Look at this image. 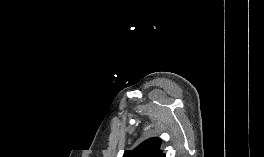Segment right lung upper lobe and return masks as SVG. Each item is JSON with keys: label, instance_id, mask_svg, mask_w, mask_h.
<instances>
[{"label": "right lung upper lobe", "instance_id": "1", "mask_svg": "<svg viewBox=\"0 0 264 157\" xmlns=\"http://www.w3.org/2000/svg\"><path fill=\"white\" fill-rule=\"evenodd\" d=\"M161 140L150 138L133 150H126L123 157H165L159 148Z\"/></svg>", "mask_w": 264, "mask_h": 157}]
</instances>
